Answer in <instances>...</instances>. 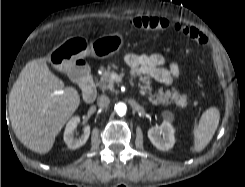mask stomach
I'll return each instance as SVG.
<instances>
[{
	"label": "stomach",
	"instance_id": "1",
	"mask_svg": "<svg viewBox=\"0 0 245 187\" xmlns=\"http://www.w3.org/2000/svg\"><path fill=\"white\" fill-rule=\"evenodd\" d=\"M124 38L119 33L101 36L91 43L81 37H70L55 47L48 55V62L57 70L66 72L76 61L88 55L96 59H106L122 48Z\"/></svg>",
	"mask_w": 245,
	"mask_h": 187
}]
</instances>
